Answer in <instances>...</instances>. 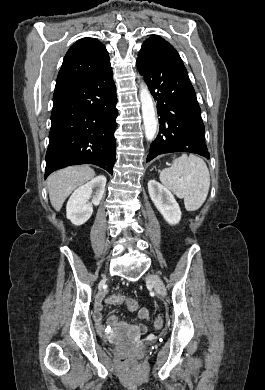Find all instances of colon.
I'll return each mask as SVG.
<instances>
[{
	"instance_id": "obj_1",
	"label": "colon",
	"mask_w": 265,
	"mask_h": 390,
	"mask_svg": "<svg viewBox=\"0 0 265 390\" xmlns=\"http://www.w3.org/2000/svg\"><path fill=\"white\" fill-rule=\"evenodd\" d=\"M107 303L111 305L125 303L127 308L130 311H135L138 308V303L135 299L127 297L123 294H114L107 298ZM153 326L155 329H161L163 326V320L161 318H156L154 320Z\"/></svg>"
}]
</instances>
